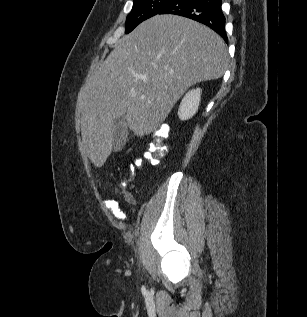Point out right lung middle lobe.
<instances>
[{
  "instance_id": "1",
  "label": "right lung middle lobe",
  "mask_w": 307,
  "mask_h": 317,
  "mask_svg": "<svg viewBox=\"0 0 307 317\" xmlns=\"http://www.w3.org/2000/svg\"><path fill=\"white\" fill-rule=\"evenodd\" d=\"M172 0H133V7L126 18V31L131 32L144 20L159 14Z\"/></svg>"
}]
</instances>
